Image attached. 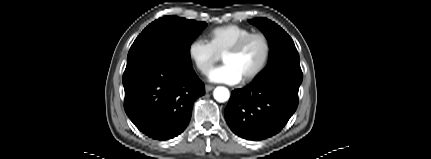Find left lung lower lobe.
Instances as JSON below:
<instances>
[{
  "mask_svg": "<svg viewBox=\"0 0 431 159\" xmlns=\"http://www.w3.org/2000/svg\"><path fill=\"white\" fill-rule=\"evenodd\" d=\"M302 73L281 71L232 91L224 115L241 138L263 140L281 131L297 109Z\"/></svg>",
  "mask_w": 431,
  "mask_h": 159,
  "instance_id": "obj_1",
  "label": "left lung lower lobe"
}]
</instances>
